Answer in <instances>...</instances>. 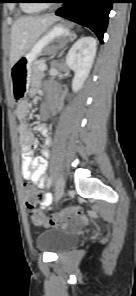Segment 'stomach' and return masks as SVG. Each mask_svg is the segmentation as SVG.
<instances>
[{
	"label": "stomach",
	"instance_id": "stomach-1",
	"mask_svg": "<svg viewBox=\"0 0 136 296\" xmlns=\"http://www.w3.org/2000/svg\"><path fill=\"white\" fill-rule=\"evenodd\" d=\"M70 35L69 28L58 24L50 28L46 34L32 46L29 52L22 55L12 66V78L14 84H28L33 74V66L37 57L43 49L55 39L60 37H68ZM14 100L20 101L25 98L26 90H30V85H13Z\"/></svg>",
	"mask_w": 136,
	"mask_h": 296
}]
</instances>
